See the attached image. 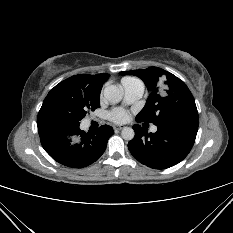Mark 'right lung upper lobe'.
<instances>
[{"label": "right lung upper lobe", "mask_w": 233, "mask_h": 233, "mask_svg": "<svg viewBox=\"0 0 233 233\" xmlns=\"http://www.w3.org/2000/svg\"><path fill=\"white\" fill-rule=\"evenodd\" d=\"M109 76L110 75L106 73L97 75L79 74L72 76L71 78L84 84L85 86L101 91L103 84L107 81Z\"/></svg>", "instance_id": "1"}]
</instances>
